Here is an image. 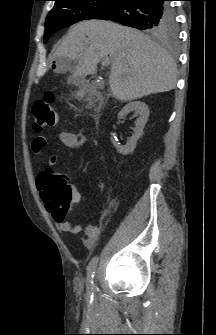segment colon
I'll list each match as a JSON object with an SVG mask.
<instances>
[{
	"label": "colon",
	"instance_id": "obj_1",
	"mask_svg": "<svg viewBox=\"0 0 216 335\" xmlns=\"http://www.w3.org/2000/svg\"><path fill=\"white\" fill-rule=\"evenodd\" d=\"M32 116L33 127L37 131L53 127L56 124L58 110L55 107V95L51 91L46 92L42 99L35 102ZM50 192L59 199L58 205L62 206L66 212L67 207L72 202L71 191L66 180L55 178Z\"/></svg>",
	"mask_w": 216,
	"mask_h": 335
}]
</instances>
